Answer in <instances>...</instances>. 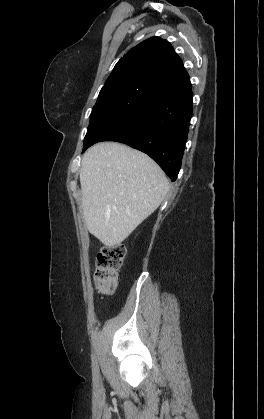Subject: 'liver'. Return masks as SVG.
I'll return each mask as SVG.
<instances>
[{"instance_id":"liver-1","label":"liver","mask_w":264,"mask_h":419,"mask_svg":"<svg viewBox=\"0 0 264 419\" xmlns=\"http://www.w3.org/2000/svg\"><path fill=\"white\" fill-rule=\"evenodd\" d=\"M80 184L84 223L108 247L122 243L169 190L164 172L149 156L116 142L87 150Z\"/></svg>"}]
</instances>
